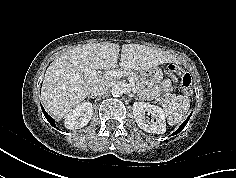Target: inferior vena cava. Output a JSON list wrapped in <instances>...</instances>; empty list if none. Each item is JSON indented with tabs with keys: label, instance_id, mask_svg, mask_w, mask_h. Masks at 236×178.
Returning <instances> with one entry per match:
<instances>
[{
	"label": "inferior vena cava",
	"instance_id": "1",
	"mask_svg": "<svg viewBox=\"0 0 236 178\" xmlns=\"http://www.w3.org/2000/svg\"><path fill=\"white\" fill-rule=\"evenodd\" d=\"M109 87L110 84L107 82L102 84H97L91 88L90 93L92 96H99L103 94Z\"/></svg>",
	"mask_w": 236,
	"mask_h": 178
}]
</instances>
